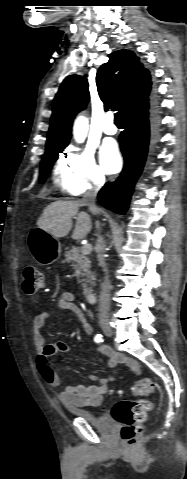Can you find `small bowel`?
Segmentation results:
<instances>
[{
  "label": "small bowel",
  "instance_id": "c3829d8e",
  "mask_svg": "<svg viewBox=\"0 0 187 479\" xmlns=\"http://www.w3.org/2000/svg\"><path fill=\"white\" fill-rule=\"evenodd\" d=\"M75 295L71 292H63L57 298V308L60 310H68L76 313L83 322V329L86 335L92 333V327L87 322L86 317L81 313L79 307L75 304ZM56 311L50 309L41 313H36L32 318V337L35 348L37 350V358L35 361L36 368L44 381L53 389L61 387V379L59 375L51 367V357L57 353H65L71 350L72 346L64 341L46 344L44 336L40 330L46 320L54 317ZM97 351L109 358L108 365L115 368L120 364H124L127 368L140 373L139 364L136 360L129 358L123 354L112 351L107 346H98ZM90 380H96V374L89 376ZM112 376L100 379L96 385H84L73 383L72 385L60 390L58 398L61 403L69 409H77L84 407H98L102 404L104 394L108 389V382L113 380Z\"/></svg>",
  "mask_w": 187,
  "mask_h": 479
}]
</instances>
